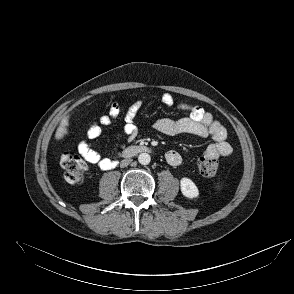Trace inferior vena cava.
<instances>
[{
  "instance_id": "1",
  "label": "inferior vena cava",
  "mask_w": 294,
  "mask_h": 294,
  "mask_svg": "<svg viewBox=\"0 0 294 294\" xmlns=\"http://www.w3.org/2000/svg\"><path fill=\"white\" fill-rule=\"evenodd\" d=\"M131 163V159H125L121 162V167H126Z\"/></svg>"
}]
</instances>
